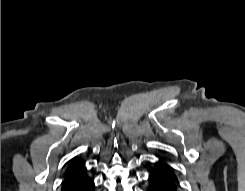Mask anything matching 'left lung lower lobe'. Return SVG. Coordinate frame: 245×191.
Returning a JSON list of instances; mask_svg holds the SVG:
<instances>
[{"mask_svg":"<svg viewBox=\"0 0 245 191\" xmlns=\"http://www.w3.org/2000/svg\"><path fill=\"white\" fill-rule=\"evenodd\" d=\"M147 191H179V180L174 169L163 158L155 164L150 173Z\"/></svg>","mask_w":245,"mask_h":191,"instance_id":"left-lung-lower-lobe-1","label":"left lung lower lobe"}]
</instances>
